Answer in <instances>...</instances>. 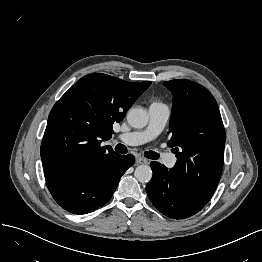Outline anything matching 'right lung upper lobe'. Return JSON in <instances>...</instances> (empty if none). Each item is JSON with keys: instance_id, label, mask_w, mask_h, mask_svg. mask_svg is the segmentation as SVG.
Returning <instances> with one entry per match:
<instances>
[{"instance_id": "cb5924a9", "label": "right lung upper lobe", "mask_w": 262, "mask_h": 262, "mask_svg": "<svg viewBox=\"0 0 262 262\" xmlns=\"http://www.w3.org/2000/svg\"><path fill=\"white\" fill-rule=\"evenodd\" d=\"M151 82H127L92 73L78 80L53 106L41 144L44 172L96 165L112 155L102 146L114 133V122Z\"/></svg>"}]
</instances>
